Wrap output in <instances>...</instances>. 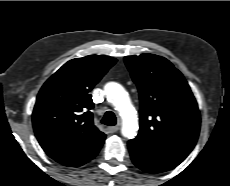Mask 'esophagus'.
<instances>
[{
	"mask_svg": "<svg viewBox=\"0 0 230 186\" xmlns=\"http://www.w3.org/2000/svg\"><path fill=\"white\" fill-rule=\"evenodd\" d=\"M118 130H119V125L108 128V131L110 133H116Z\"/></svg>",
	"mask_w": 230,
	"mask_h": 186,
	"instance_id": "esophagus-1",
	"label": "esophagus"
}]
</instances>
